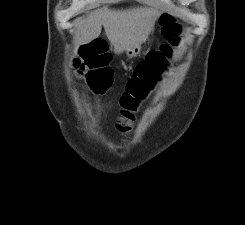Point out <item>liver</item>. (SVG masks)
<instances>
[{
  "label": "liver",
  "mask_w": 245,
  "mask_h": 225,
  "mask_svg": "<svg viewBox=\"0 0 245 225\" xmlns=\"http://www.w3.org/2000/svg\"><path fill=\"white\" fill-rule=\"evenodd\" d=\"M158 15L156 9L146 7L121 11L104 8L91 13L78 24L74 37L75 45H83L99 37L103 26L114 52L121 54L147 40Z\"/></svg>",
  "instance_id": "1"
}]
</instances>
